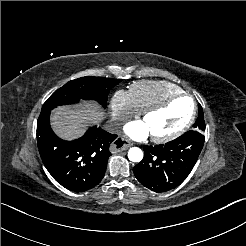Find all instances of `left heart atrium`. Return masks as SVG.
Returning a JSON list of instances; mask_svg holds the SVG:
<instances>
[{
	"label": "left heart atrium",
	"mask_w": 246,
	"mask_h": 246,
	"mask_svg": "<svg viewBox=\"0 0 246 246\" xmlns=\"http://www.w3.org/2000/svg\"><path fill=\"white\" fill-rule=\"evenodd\" d=\"M124 133L134 140H144L148 135L149 131L144 123L139 121H131L125 124Z\"/></svg>",
	"instance_id": "obj_1"
}]
</instances>
